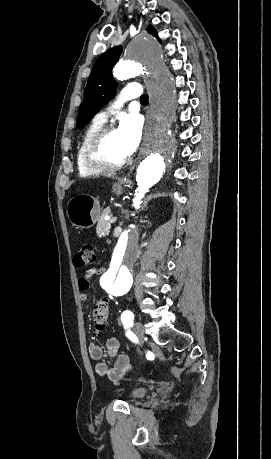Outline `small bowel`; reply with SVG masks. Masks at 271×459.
<instances>
[{
	"mask_svg": "<svg viewBox=\"0 0 271 459\" xmlns=\"http://www.w3.org/2000/svg\"><path fill=\"white\" fill-rule=\"evenodd\" d=\"M102 271L103 268L92 267L87 269L84 274L78 278L77 284L81 301H86L88 299L87 292L90 279L100 274ZM88 350L90 357L97 361L95 372L101 378H107L113 383H119L130 369L129 358L125 354L120 353L119 341L115 337L107 339L105 351L96 344H90ZM105 357L114 361L112 366H108L102 361Z\"/></svg>",
	"mask_w": 271,
	"mask_h": 459,
	"instance_id": "c3829d8e",
	"label": "small bowel"
}]
</instances>
